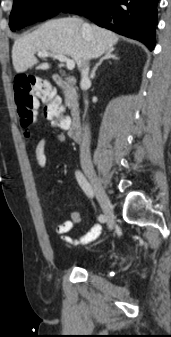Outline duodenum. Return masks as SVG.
Here are the masks:
<instances>
[{"label": "duodenum", "instance_id": "410a0bca", "mask_svg": "<svg viewBox=\"0 0 171 337\" xmlns=\"http://www.w3.org/2000/svg\"><path fill=\"white\" fill-rule=\"evenodd\" d=\"M54 80L57 85L64 87L66 91L68 106L73 113L67 126L68 134L72 140L80 141L82 134L78 116V107H79L78 94L74 89L72 82L69 79L62 77L60 75H55Z\"/></svg>", "mask_w": 171, "mask_h": 337}]
</instances>
